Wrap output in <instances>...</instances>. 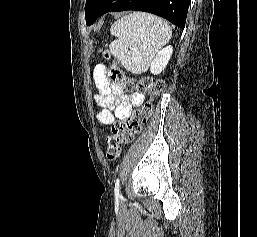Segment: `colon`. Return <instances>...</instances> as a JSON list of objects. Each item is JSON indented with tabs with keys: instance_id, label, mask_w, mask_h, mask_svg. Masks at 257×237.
Here are the masks:
<instances>
[{
	"instance_id": "colon-1",
	"label": "colon",
	"mask_w": 257,
	"mask_h": 237,
	"mask_svg": "<svg viewBox=\"0 0 257 237\" xmlns=\"http://www.w3.org/2000/svg\"><path fill=\"white\" fill-rule=\"evenodd\" d=\"M109 57V54H105L106 59ZM106 74L113 84L120 85L128 91L137 89L150 98L140 108L136 109L131 116L113 123L112 133L107 138V157L110 161H113L121 156L123 146L131 143L151 118L154 111V101L164 90L165 84L162 80L153 77H144L138 81L128 79L117 64H112L107 69Z\"/></svg>"
}]
</instances>
